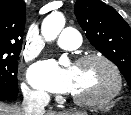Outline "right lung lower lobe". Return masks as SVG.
<instances>
[{
	"label": "right lung lower lobe",
	"instance_id": "98d812e1",
	"mask_svg": "<svg viewBox=\"0 0 131 115\" xmlns=\"http://www.w3.org/2000/svg\"><path fill=\"white\" fill-rule=\"evenodd\" d=\"M7 99H9V97H7V96H1V95H0V100H1V101H5V100H7Z\"/></svg>",
	"mask_w": 131,
	"mask_h": 115
}]
</instances>
